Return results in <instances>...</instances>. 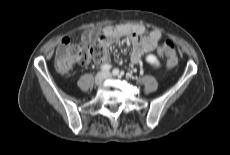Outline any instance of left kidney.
<instances>
[{
	"mask_svg": "<svg viewBox=\"0 0 230 155\" xmlns=\"http://www.w3.org/2000/svg\"><path fill=\"white\" fill-rule=\"evenodd\" d=\"M146 61L151 64L152 66H154L155 68H158L160 66V62L158 60V58L153 55V54H149L146 56Z\"/></svg>",
	"mask_w": 230,
	"mask_h": 155,
	"instance_id": "left-kidney-1",
	"label": "left kidney"
}]
</instances>
